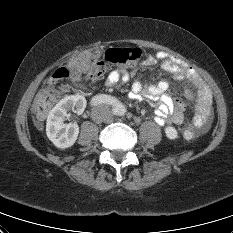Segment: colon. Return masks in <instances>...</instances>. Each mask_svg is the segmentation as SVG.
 <instances>
[{
  "label": "colon",
  "mask_w": 233,
  "mask_h": 233,
  "mask_svg": "<svg viewBox=\"0 0 233 233\" xmlns=\"http://www.w3.org/2000/svg\"><path fill=\"white\" fill-rule=\"evenodd\" d=\"M141 57L139 48H111L104 56V61H93L87 68L86 76L90 81H97L103 77L106 72V62L116 66L134 65ZM70 69L67 66L58 68L51 76L46 87L41 89L33 105L34 112L38 118H43L51 110L57 100L67 91V86L62 82L69 76ZM200 130L194 126H187L183 131L186 139L195 138Z\"/></svg>",
  "instance_id": "5ec220e1"
}]
</instances>
